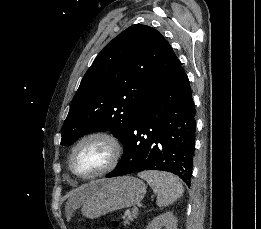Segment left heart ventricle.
Returning a JSON list of instances; mask_svg holds the SVG:
<instances>
[{"label": "left heart ventricle", "mask_w": 261, "mask_h": 229, "mask_svg": "<svg viewBox=\"0 0 261 229\" xmlns=\"http://www.w3.org/2000/svg\"><path fill=\"white\" fill-rule=\"evenodd\" d=\"M110 151L106 144L99 140L89 141L77 149L74 154V167L85 174L102 169L109 161Z\"/></svg>", "instance_id": "b2bd125f"}]
</instances>
